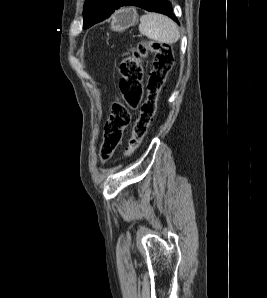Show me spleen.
Returning <instances> with one entry per match:
<instances>
[{"label":"spleen","mask_w":267,"mask_h":298,"mask_svg":"<svg viewBox=\"0 0 267 298\" xmlns=\"http://www.w3.org/2000/svg\"><path fill=\"white\" fill-rule=\"evenodd\" d=\"M139 32L159 43L174 44L180 38L177 24L165 15L146 13L140 18Z\"/></svg>","instance_id":"spleen-1"}]
</instances>
